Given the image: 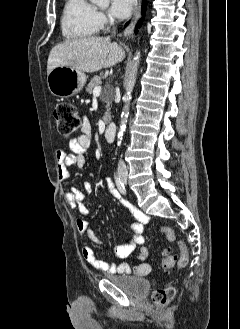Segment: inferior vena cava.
Instances as JSON below:
<instances>
[{"label": "inferior vena cava", "instance_id": "1", "mask_svg": "<svg viewBox=\"0 0 240 329\" xmlns=\"http://www.w3.org/2000/svg\"><path fill=\"white\" fill-rule=\"evenodd\" d=\"M114 33H115V32H114ZM118 173H119L120 175H127V173H128V171H127V167H126V165H125V163H124L123 160H120V161H119V164H118Z\"/></svg>", "mask_w": 240, "mask_h": 329}]
</instances>
